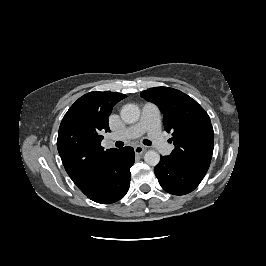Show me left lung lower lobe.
I'll list each match as a JSON object with an SVG mask.
<instances>
[{
	"mask_svg": "<svg viewBox=\"0 0 266 266\" xmlns=\"http://www.w3.org/2000/svg\"><path fill=\"white\" fill-rule=\"evenodd\" d=\"M208 168L179 165L169 156L160 157L154 168L161 187L173 195H184L193 191L207 173Z\"/></svg>",
	"mask_w": 266,
	"mask_h": 266,
	"instance_id": "obj_1",
	"label": "left lung lower lobe"
}]
</instances>
